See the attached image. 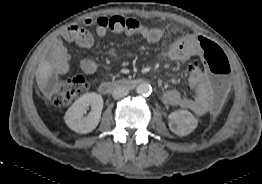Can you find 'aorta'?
<instances>
[{
	"mask_svg": "<svg viewBox=\"0 0 262 184\" xmlns=\"http://www.w3.org/2000/svg\"><path fill=\"white\" fill-rule=\"evenodd\" d=\"M136 90L138 94L146 96L151 93V86L147 83H141L137 86Z\"/></svg>",
	"mask_w": 262,
	"mask_h": 184,
	"instance_id": "1",
	"label": "aorta"
}]
</instances>
